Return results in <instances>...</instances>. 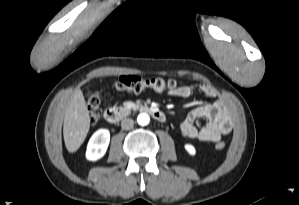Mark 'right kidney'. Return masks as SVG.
I'll return each mask as SVG.
<instances>
[{
	"label": "right kidney",
	"instance_id": "obj_1",
	"mask_svg": "<svg viewBox=\"0 0 299 205\" xmlns=\"http://www.w3.org/2000/svg\"><path fill=\"white\" fill-rule=\"evenodd\" d=\"M110 142V132L107 129L97 130L90 138L87 150L86 158L89 161H97L102 158L108 148Z\"/></svg>",
	"mask_w": 299,
	"mask_h": 205
}]
</instances>
